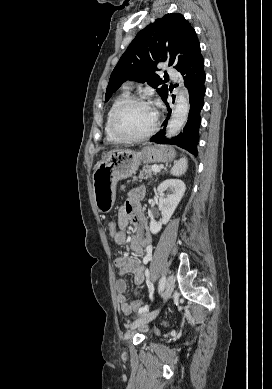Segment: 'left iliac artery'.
Segmentation results:
<instances>
[{
	"label": "left iliac artery",
	"instance_id": "44dca946",
	"mask_svg": "<svg viewBox=\"0 0 272 389\" xmlns=\"http://www.w3.org/2000/svg\"><path fill=\"white\" fill-rule=\"evenodd\" d=\"M165 281H166L165 276H162V278L159 281V286H158L159 292H162L164 290ZM148 290H149V297H150V299H152L153 298L154 289H153V285H152L151 282L148 283Z\"/></svg>",
	"mask_w": 272,
	"mask_h": 389
}]
</instances>
